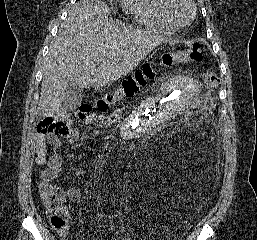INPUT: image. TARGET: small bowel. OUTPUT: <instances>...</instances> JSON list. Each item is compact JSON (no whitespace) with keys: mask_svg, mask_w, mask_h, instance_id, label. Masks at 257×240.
I'll list each match as a JSON object with an SVG mask.
<instances>
[{"mask_svg":"<svg viewBox=\"0 0 257 240\" xmlns=\"http://www.w3.org/2000/svg\"><path fill=\"white\" fill-rule=\"evenodd\" d=\"M64 129L59 133H38L34 141V150L36 153V164L43 166L38 171V181L40 189L43 192L55 186L50 184L51 179L58 178L66 171L61 157V142L60 138H65L70 142L77 141L79 137L78 131L70 124H64ZM48 145L53 149V154L48 156ZM67 199L71 203H79L81 201V190L77 186H72L65 190ZM60 236H65L66 230H57ZM131 240H138L136 234L132 230L126 232ZM76 236L79 233L76 232Z\"/></svg>","mask_w":257,"mask_h":240,"instance_id":"obj_1","label":"small bowel"}]
</instances>
